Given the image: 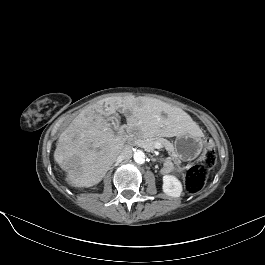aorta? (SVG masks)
<instances>
[{
  "label": "aorta",
  "instance_id": "1",
  "mask_svg": "<svg viewBox=\"0 0 265 265\" xmlns=\"http://www.w3.org/2000/svg\"><path fill=\"white\" fill-rule=\"evenodd\" d=\"M133 158H134V161L137 164H144L145 160H146L145 153L143 151H141V150L135 151L134 155H133Z\"/></svg>",
  "mask_w": 265,
  "mask_h": 265
}]
</instances>
